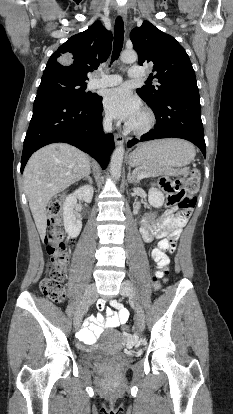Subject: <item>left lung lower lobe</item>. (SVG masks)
Listing matches in <instances>:
<instances>
[{
  "label": "left lung lower lobe",
  "mask_w": 233,
  "mask_h": 414,
  "mask_svg": "<svg viewBox=\"0 0 233 414\" xmlns=\"http://www.w3.org/2000/svg\"><path fill=\"white\" fill-rule=\"evenodd\" d=\"M199 93L177 94L166 98L152 109L156 117L155 128L140 139L128 141V147L138 142L160 138H182L194 143L205 156V140L201 120Z\"/></svg>",
  "instance_id": "0a47b994"
}]
</instances>
